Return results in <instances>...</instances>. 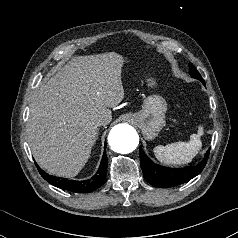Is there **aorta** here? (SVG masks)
<instances>
[{
    "mask_svg": "<svg viewBox=\"0 0 238 238\" xmlns=\"http://www.w3.org/2000/svg\"><path fill=\"white\" fill-rule=\"evenodd\" d=\"M108 142L113 151L127 154L136 149L139 143V136L132 126L118 124L111 129Z\"/></svg>",
    "mask_w": 238,
    "mask_h": 238,
    "instance_id": "762f6f07",
    "label": "aorta"
}]
</instances>
